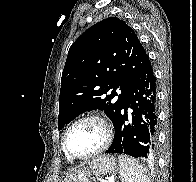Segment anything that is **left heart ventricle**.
<instances>
[{
    "label": "left heart ventricle",
    "mask_w": 196,
    "mask_h": 182,
    "mask_svg": "<svg viewBox=\"0 0 196 182\" xmlns=\"http://www.w3.org/2000/svg\"><path fill=\"white\" fill-rule=\"evenodd\" d=\"M101 127L95 122H83L72 129L68 137V149L75 155H86L102 142Z\"/></svg>",
    "instance_id": "obj_1"
}]
</instances>
